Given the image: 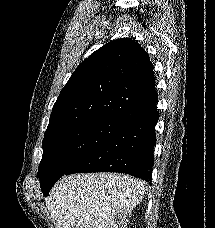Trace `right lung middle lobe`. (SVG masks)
Listing matches in <instances>:
<instances>
[{"mask_svg":"<svg viewBox=\"0 0 215 228\" xmlns=\"http://www.w3.org/2000/svg\"><path fill=\"white\" fill-rule=\"evenodd\" d=\"M127 122L94 117L44 135L38 177L44 196L66 172Z\"/></svg>","mask_w":215,"mask_h":228,"instance_id":"right-lung-middle-lobe-1","label":"right lung middle lobe"}]
</instances>
